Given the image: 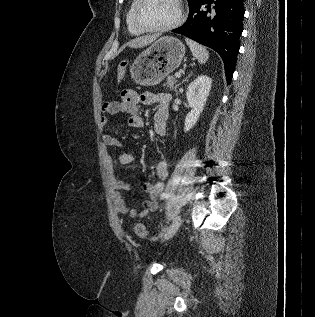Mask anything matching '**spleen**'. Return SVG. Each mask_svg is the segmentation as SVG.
Wrapping results in <instances>:
<instances>
[{"label":"spleen","instance_id":"obj_1","mask_svg":"<svg viewBox=\"0 0 315 317\" xmlns=\"http://www.w3.org/2000/svg\"><path fill=\"white\" fill-rule=\"evenodd\" d=\"M185 41L189 46L193 56L198 60L200 64H203L208 60L209 53L204 46L188 38H185Z\"/></svg>","mask_w":315,"mask_h":317}]
</instances>
